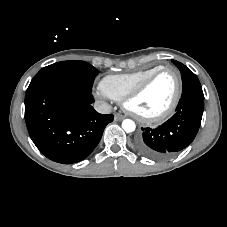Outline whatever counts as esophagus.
Returning <instances> with one entry per match:
<instances>
[{"label": "esophagus", "mask_w": 227, "mask_h": 227, "mask_svg": "<svg viewBox=\"0 0 227 227\" xmlns=\"http://www.w3.org/2000/svg\"><path fill=\"white\" fill-rule=\"evenodd\" d=\"M124 118H125L124 115L117 113V114H115L114 120L120 121V120H123Z\"/></svg>", "instance_id": "esophagus-1"}]
</instances>
